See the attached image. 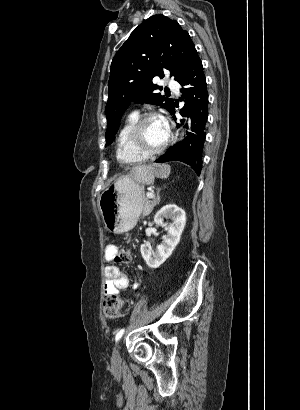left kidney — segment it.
I'll list each match as a JSON object with an SVG mask.
<instances>
[{
	"label": "left kidney",
	"mask_w": 300,
	"mask_h": 410,
	"mask_svg": "<svg viewBox=\"0 0 300 410\" xmlns=\"http://www.w3.org/2000/svg\"><path fill=\"white\" fill-rule=\"evenodd\" d=\"M164 218L172 220L169 227L164 223ZM154 222L156 225L164 227L167 230V235L163 237L162 243L155 250H152L147 244L141 245V255L150 268H158L171 256L180 242L186 224V214L175 204H168L156 213Z\"/></svg>",
	"instance_id": "5707ae66"
}]
</instances>
